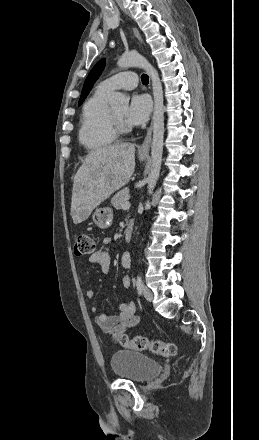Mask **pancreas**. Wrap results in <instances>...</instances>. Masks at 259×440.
Returning a JSON list of instances; mask_svg holds the SVG:
<instances>
[{
    "mask_svg": "<svg viewBox=\"0 0 259 440\" xmlns=\"http://www.w3.org/2000/svg\"><path fill=\"white\" fill-rule=\"evenodd\" d=\"M129 188H124L116 193L111 199V204L117 210L121 209V205L128 201Z\"/></svg>",
    "mask_w": 259,
    "mask_h": 440,
    "instance_id": "pancreas-1",
    "label": "pancreas"
}]
</instances>
